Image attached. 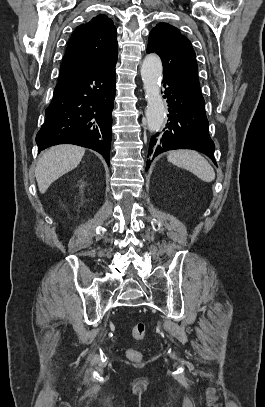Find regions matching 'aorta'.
<instances>
[{"instance_id": "obj_1", "label": "aorta", "mask_w": 265, "mask_h": 407, "mask_svg": "<svg viewBox=\"0 0 265 407\" xmlns=\"http://www.w3.org/2000/svg\"><path fill=\"white\" fill-rule=\"evenodd\" d=\"M162 73V62L159 56L156 54L147 55L141 66V77L147 101L145 114L150 131L159 130L166 116V108L160 94Z\"/></svg>"}]
</instances>
